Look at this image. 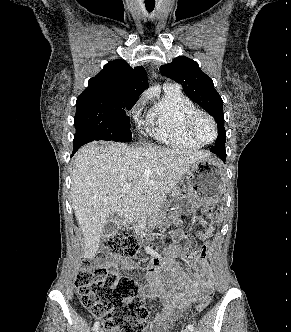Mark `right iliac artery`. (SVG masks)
Instances as JSON below:
<instances>
[{
    "label": "right iliac artery",
    "instance_id": "obj_1",
    "mask_svg": "<svg viewBox=\"0 0 291 332\" xmlns=\"http://www.w3.org/2000/svg\"><path fill=\"white\" fill-rule=\"evenodd\" d=\"M100 326V323L99 322H95L94 326H93V331L96 332L98 330Z\"/></svg>",
    "mask_w": 291,
    "mask_h": 332
}]
</instances>
